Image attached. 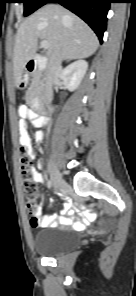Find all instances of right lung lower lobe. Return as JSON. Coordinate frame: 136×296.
Masks as SVG:
<instances>
[{
  "instance_id": "obj_1",
  "label": "right lung lower lobe",
  "mask_w": 136,
  "mask_h": 296,
  "mask_svg": "<svg viewBox=\"0 0 136 296\" xmlns=\"http://www.w3.org/2000/svg\"><path fill=\"white\" fill-rule=\"evenodd\" d=\"M111 2L112 0H46V3H59L82 18L97 34L100 43L106 30V15Z\"/></svg>"
}]
</instances>
